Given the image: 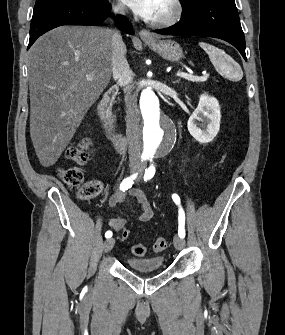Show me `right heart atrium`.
I'll return each instance as SVG.
<instances>
[{"mask_svg":"<svg viewBox=\"0 0 285 335\" xmlns=\"http://www.w3.org/2000/svg\"><path fill=\"white\" fill-rule=\"evenodd\" d=\"M111 9L113 13L118 17H125L127 15V9L123 3L115 1L111 3Z\"/></svg>","mask_w":285,"mask_h":335,"instance_id":"right-heart-atrium-1","label":"right heart atrium"}]
</instances>
